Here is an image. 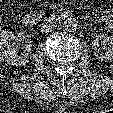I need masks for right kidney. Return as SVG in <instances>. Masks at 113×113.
I'll use <instances>...</instances> for the list:
<instances>
[{
    "instance_id": "1",
    "label": "right kidney",
    "mask_w": 113,
    "mask_h": 113,
    "mask_svg": "<svg viewBox=\"0 0 113 113\" xmlns=\"http://www.w3.org/2000/svg\"><path fill=\"white\" fill-rule=\"evenodd\" d=\"M23 50L19 53L20 45H23ZM32 40L30 35L19 33L17 38L8 48L6 61L13 66L26 65L31 59Z\"/></svg>"
}]
</instances>
